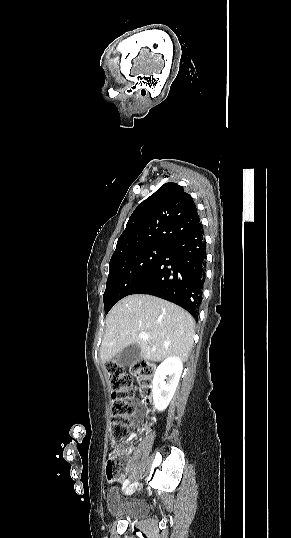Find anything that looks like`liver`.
<instances>
[{"label":"liver","mask_w":291,"mask_h":538,"mask_svg":"<svg viewBox=\"0 0 291 538\" xmlns=\"http://www.w3.org/2000/svg\"><path fill=\"white\" fill-rule=\"evenodd\" d=\"M194 326L193 317L171 302L146 294L127 296L106 317L101 361L106 363L133 344L148 361L169 356L186 361L193 346ZM140 333L147 334L148 339L141 338Z\"/></svg>","instance_id":"obj_1"}]
</instances>
